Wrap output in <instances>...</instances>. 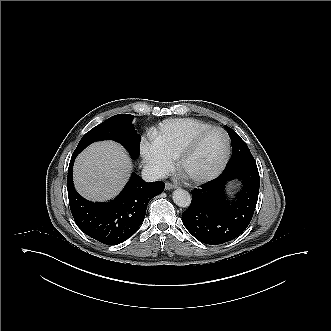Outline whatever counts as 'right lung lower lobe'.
Segmentation results:
<instances>
[{"mask_svg": "<svg viewBox=\"0 0 331 331\" xmlns=\"http://www.w3.org/2000/svg\"><path fill=\"white\" fill-rule=\"evenodd\" d=\"M73 153L68 169V198L73 218L91 238L107 245H116L131 237L144 220L147 203L163 192L164 182H144L133 173L122 192L107 203H94L80 196L72 179Z\"/></svg>", "mask_w": 331, "mask_h": 331, "instance_id": "1", "label": "right lung lower lobe"}]
</instances>
